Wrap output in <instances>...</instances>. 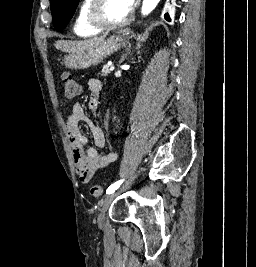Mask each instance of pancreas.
<instances>
[{
    "label": "pancreas",
    "mask_w": 256,
    "mask_h": 267,
    "mask_svg": "<svg viewBox=\"0 0 256 267\" xmlns=\"http://www.w3.org/2000/svg\"><path fill=\"white\" fill-rule=\"evenodd\" d=\"M107 74H110V70L108 66H103L101 76H107Z\"/></svg>",
    "instance_id": "pancreas-1"
}]
</instances>
